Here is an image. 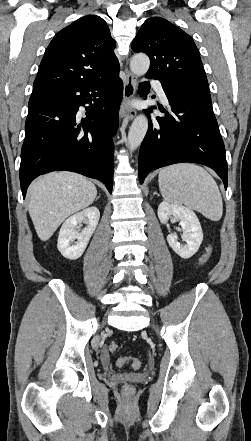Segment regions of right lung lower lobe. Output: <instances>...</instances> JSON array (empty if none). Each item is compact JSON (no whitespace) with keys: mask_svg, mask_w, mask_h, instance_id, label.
I'll list each match as a JSON object with an SVG mask.
<instances>
[{"mask_svg":"<svg viewBox=\"0 0 251 441\" xmlns=\"http://www.w3.org/2000/svg\"><path fill=\"white\" fill-rule=\"evenodd\" d=\"M123 83L118 71L98 81L32 92L21 150L23 197L39 175L66 170L102 181L112 193L114 143ZM86 117H76L80 106Z\"/></svg>","mask_w":251,"mask_h":441,"instance_id":"obj_1","label":"right lung lower lobe"}]
</instances>
